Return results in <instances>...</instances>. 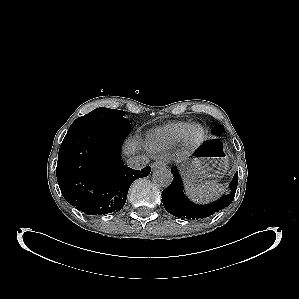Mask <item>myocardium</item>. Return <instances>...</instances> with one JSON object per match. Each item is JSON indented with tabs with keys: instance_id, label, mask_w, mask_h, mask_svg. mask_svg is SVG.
<instances>
[{
	"instance_id": "1",
	"label": "myocardium",
	"mask_w": 299,
	"mask_h": 299,
	"mask_svg": "<svg viewBox=\"0 0 299 299\" xmlns=\"http://www.w3.org/2000/svg\"><path fill=\"white\" fill-rule=\"evenodd\" d=\"M204 135V128L200 124H190L183 138V145L185 150L187 152H191L197 149L203 142Z\"/></svg>"
}]
</instances>
